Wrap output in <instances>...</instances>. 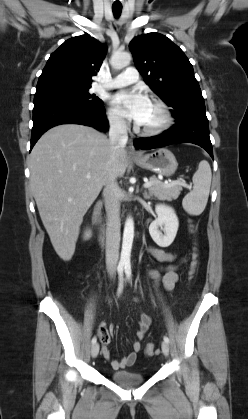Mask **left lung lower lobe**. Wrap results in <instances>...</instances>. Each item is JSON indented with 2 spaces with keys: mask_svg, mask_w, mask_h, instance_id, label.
<instances>
[{
  "mask_svg": "<svg viewBox=\"0 0 248 419\" xmlns=\"http://www.w3.org/2000/svg\"><path fill=\"white\" fill-rule=\"evenodd\" d=\"M177 123L164 133L134 142L138 149L148 150L176 143H193L204 148L213 158L209 125L205 110H191L176 118Z\"/></svg>",
  "mask_w": 248,
  "mask_h": 419,
  "instance_id": "1",
  "label": "left lung lower lobe"
}]
</instances>
